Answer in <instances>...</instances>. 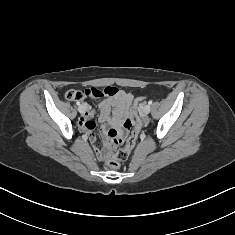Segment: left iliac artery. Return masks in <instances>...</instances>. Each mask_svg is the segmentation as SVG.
<instances>
[{
	"label": "left iliac artery",
	"instance_id": "obj_1",
	"mask_svg": "<svg viewBox=\"0 0 235 235\" xmlns=\"http://www.w3.org/2000/svg\"><path fill=\"white\" fill-rule=\"evenodd\" d=\"M152 103H153V101H152V100H150V101L148 102V104H149V105H151Z\"/></svg>",
	"mask_w": 235,
	"mask_h": 235
}]
</instances>
